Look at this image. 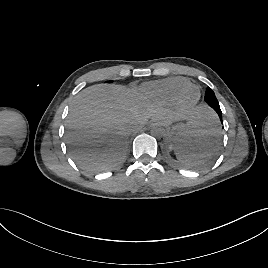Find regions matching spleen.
<instances>
[{"label": "spleen", "instance_id": "3e777b00", "mask_svg": "<svg viewBox=\"0 0 268 268\" xmlns=\"http://www.w3.org/2000/svg\"><path fill=\"white\" fill-rule=\"evenodd\" d=\"M187 147L175 149L179 160L199 163L212 158L220 143L221 130L218 118L212 113L202 114L192 125Z\"/></svg>", "mask_w": 268, "mask_h": 268}]
</instances>
